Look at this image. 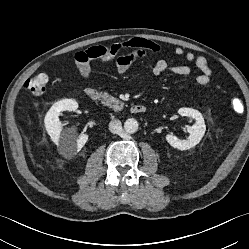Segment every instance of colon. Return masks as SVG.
I'll return each mask as SVG.
<instances>
[{"label":"colon","instance_id":"obj_1","mask_svg":"<svg viewBox=\"0 0 249 249\" xmlns=\"http://www.w3.org/2000/svg\"><path fill=\"white\" fill-rule=\"evenodd\" d=\"M121 50L119 45H113L110 48H105L101 52L93 51L91 58L110 60L114 58ZM48 83V77L44 73H39L26 82V88L33 94L40 95L45 92ZM230 107L236 114H240L244 110V103L241 98L233 96L230 99Z\"/></svg>","mask_w":249,"mask_h":249}]
</instances>
